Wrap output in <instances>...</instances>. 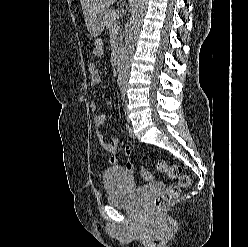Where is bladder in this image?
I'll return each mask as SVG.
<instances>
[{"label":"bladder","mask_w":248,"mask_h":247,"mask_svg":"<svg viewBox=\"0 0 248 247\" xmlns=\"http://www.w3.org/2000/svg\"><path fill=\"white\" fill-rule=\"evenodd\" d=\"M107 201L111 206L130 208L138 201V194L144 190L130 179L129 172L120 167L108 169L103 176Z\"/></svg>","instance_id":"obj_1"}]
</instances>
